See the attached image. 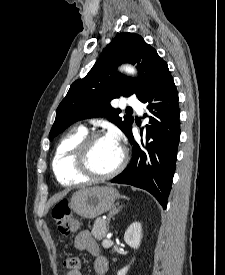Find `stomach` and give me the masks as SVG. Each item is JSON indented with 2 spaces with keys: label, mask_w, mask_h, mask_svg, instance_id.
I'll use <instances>...</instances> for the list:
<instances>
[{
  "label": "stomach",
  "mask_w": 225,
  "mask_h": 275,
  "mask_svg": "<svg viewBox=\"0 0 225 275\" xmlns=\"http://www.w3.org/2000/svg\"><path fill=\"white\" fill-rule=\"evenodd\" d=\"M118 197L112 187L93 186L74 193L69 207L80 217L93 219L109 211Z\"/></svg>",
  "instance_id": "1"
}]
</instances>
